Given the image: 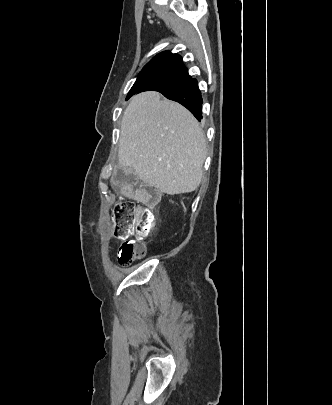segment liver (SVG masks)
Instances as JSON below:
<instances>
[{"label":"liver","instance_id":"1","mask_svg":"<svg viewBox=\"0 0 332 405\" xmlns=\"http://www.w3.org/2000/svg\"><path fill=\"white\" fill-rule=\"evenodd\" d=\"M206 154L204 134L185 107L155 91L132 97L121 123L120 167L163 193L182 194L198 188Z\"/></svg>","mask_w":332,"mask_h":405}]
</instances>
